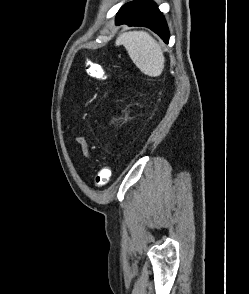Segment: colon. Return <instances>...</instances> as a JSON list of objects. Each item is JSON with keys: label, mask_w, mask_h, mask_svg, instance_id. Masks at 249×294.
Returning a JSON list of instances; mask_svg holds the SVG:
<instances>
[{"label": "colon", "mask_w": 249, "mask_h": 294, "mask_svg": "<svg viewBox=\"0 0 249 294\" xmlns=\"http://www.w3.org/2000/svg\"><path fill=\"white\" fill-rule=\"evenodd\" d=\"M86 72L92 78H96L99 80H104L107 78L104 68L99 64L87 63ZM111 175L112 169L109 166L103 167L95 177V186L102 187L106 185L110 181Z\"/></svg>", "instance_id": "5ec220e1"}]
</instances>
